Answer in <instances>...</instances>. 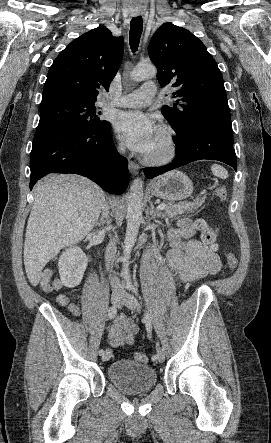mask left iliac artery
<instances>
[{
  "mask_svg": "<svg viewBox=\"0 0 271 443\" xmlns=\"http://www.w3.org/2000/svg\"><path fill=\"white\" fill-rule=\"evenodd\" d=\"M130 290H131L133 293H135V295L140 299V296H139V294H138V291H137V289H136L134 286L131 285V286H130ZM144 321H145V323H146V330H147V333H148L149 335H151V333H152V322H151V316H150V314H149L148 312H146V314H145ZM151 359H152V361H156V360L158 359V356L153 355V356L151 357Z\"/></svg>",
  "mask_w": 271,
  "mask_h": 443,
  "instance_id": "obj_1",
  "label": "left iliac artery"
}]
</instances>
